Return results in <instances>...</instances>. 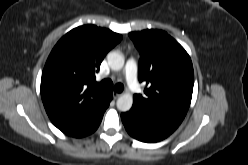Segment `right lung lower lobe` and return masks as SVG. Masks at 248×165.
I'll use <instances>...</instances> for the list:
<instances>
[{
    "label": "right lung lower lobe",
    "instance_id": "98d812e1",
    "mask_svg": "<svg viewBox=\"0 0 248 165\" xmlns=\"http://www.w3.org/2000/svg\"><path fill=\"white\" fill-rule=\"evenodd\" d=\"M111 100H112V92H111V96L109 100L107 101L105 106L100 110V112H98L93 118H91L89 121L85 122L84 124L74 129L66 131L65 134L72 136V137L79 138V137H84V136H87L93 133L100 125L101 120L103 118V114L105 110L107 109V107L109 106V103Z\"/></svg>",
    "mask_w": 248,
    "mask_h": 165
}]
</instances>
